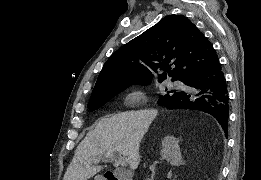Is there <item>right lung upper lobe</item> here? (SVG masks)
<instances>
[{"mask_svg": "<svg viewBox=\"0 0 261 180\" xmlns=\"http://www.w3.org/2000/svg\"><path fill=\"white\" fill-rule=\"evenodd\" d=\"M218 62L208 39L182 15H169L113 53L103 66L90 99L147 84L152 72L159 81H183L193 71ZM173 66V68H171Z\"/></svg>", "mask_w": 261, "mask_h": 180, "instance_id": "cb5924a9", "label": "right lung upper lobe"}]
</instances>
